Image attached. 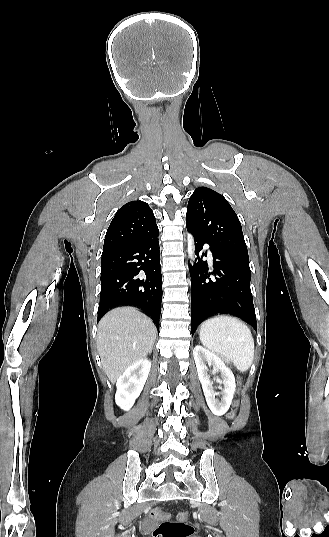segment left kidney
Returning <instances> with one entry per match:
<instances>
[{
    "instance_id": "5707ae66",
    "label": "left kidney",
    "mask_w": 329,
    "mask_h": 537,
    "mask_svg": "<svg viewBox=\"0 0 329 537\" xmlns=\"http://www.w3.org/2000/svg\"><path fill=\"white\" fill-rule=\"evenodd\" d=\"M193 355L207 405L214 415L222 416L228 411L232 403L236 389L235 377L218 355L205 349L201 345H196L194 347ZM206 362L213 366L214 371H219L221 373L222 379L216 378L217 383L223 384V388H220L222 395L221 400L215 398L216 394L213 389V383L208 375Z\"/></svg>"
}]
</instances>
